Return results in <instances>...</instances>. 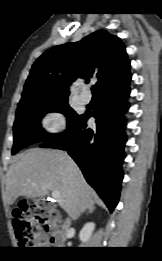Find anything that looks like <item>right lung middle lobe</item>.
Returning <instances> with one entry per match:
<instances>
[{"label":"right lung middle lobe","mask_w":162,"mask_h":261,"mask_svg":"<svg viewBox=\"0 0 162 261\" xmlns=\"http://www.w3.org/2000/svg\"><path fill=\"white\" fill-rule=\"evenodd\" d=\"M51 111L65 114L68 126L79 116L69 107L68 96L41 95L20 101L13 126L14 144L12 154H16L28 145L45 141L52 136L43 130L40 123L42 117Z\"/></svg>","instance_id":"obj_1"}]
</instances>
